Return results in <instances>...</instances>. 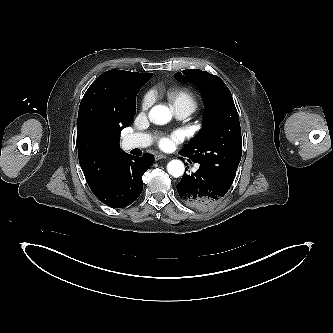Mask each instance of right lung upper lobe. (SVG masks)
<instances>
[{"instance_id":"cb5924a9","label":"right lung upper lobe","mask_w":333,"mask_h":333,"mask_svg":"<svg viewBox=\"0 0 333 333\" xmlns=\"http://www.w3.org/2000/svg\"><path fill=\"white\" fill-rule=\"evenodd\" d=\"M153 76L124 70L101 74L84 94L78 112V157L94 195L109 183L120 158V132L131 125L136 95Z\"/></svg>"}]
</instances>
